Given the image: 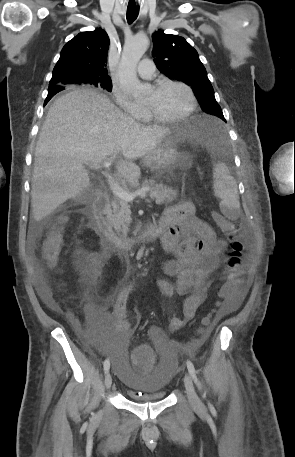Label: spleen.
Returning a JSON list of instances; mask_svg holds the SVG:
<instances>
[{"mask_svg": "<svg viewBox=\"0 0 295 457\" xmlns=\"http://www.w3.org/2000/svg\"><path fill=\"white\" fill-rule=\"evenodd\" d=\"M214 193L221 198V212L228 218H234L240 209L238 189L235 179L230 175L228 167L218 162L214 168Z\"/></svg>", "mask_w": 295, "mask_h": 457, "instance_id": "3e777b00", "label": "spleen"}]
</instances>
